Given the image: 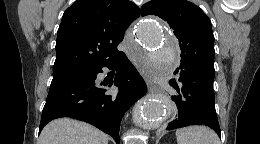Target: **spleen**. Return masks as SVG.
Wrapping results in <instances>:
<instances>
[{
    "label": "spleen",
    "instance_id": "spleen-1",
    "mask_svg": "<svg viewBox=\"0 0 260 144\" xmlns=\"http://www.w3.org/2000/svg\"><path fill=\"white\" fill-rule=\"evenodd\" d=\"M177 144H220L218 135L204 126H190L176 131Z\"/></svg>",
    "mask_w": 260,
    "mask_h": 144
}]
</instances>
